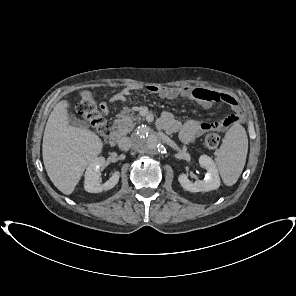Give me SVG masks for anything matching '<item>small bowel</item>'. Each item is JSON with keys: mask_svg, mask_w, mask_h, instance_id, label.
<instances>
[{"mask_svg": "<svg viewBox=\"0 0 296 296\" xmlns=\"http://www.w3.org/2000/svg\"><path fill=\"white\" fill-rule=\"evenodd\" d=\"M147 89L148 91L157 93L161 97L167 99L183 97L193 100L204 109H207L217 103H225L231 107L233 114L213 122L189 119L182 124L175 119L171 113H163L158 123L159 126L172 132H179L181 140L185 143H192L196 141L197 138L208 131H224L232 125L242 122L244 119V113L237 99L226 93L192 86L157 87L155 85H150ZM132 90L133 88L131 87L124 88L120 92L114 94L110 98V102L125 101L127 97L131 95ZM101 106L103 112L107 113L109 109L108 102H103Z\"/></svg>", "mask_w": 296, "mask_h": 296, "instance_id": "obj_1", "label": "small bowel"}]
</instances>
